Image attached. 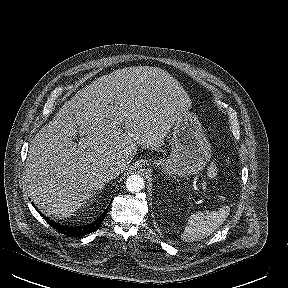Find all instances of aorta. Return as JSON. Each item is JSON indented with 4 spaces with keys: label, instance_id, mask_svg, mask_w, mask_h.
I'll list each match as a JSON object with an SVG mask.
<instances>
[{
    "label": "aorta",
    "instance_id": "1",
    "mask_svg": "<svg viewBox=\"0 0 288 288\" xmlns=\"http://www.w3.org/2000/svg\"><path fill=\"white\" fill-rule=\"evenodd\" d=\"M144 186V179L140 175H130L126 180V188L130 192H140Z\"/></svg>",
    "mask_w": 288,
    "mask_h": 288
}]
</instances>
